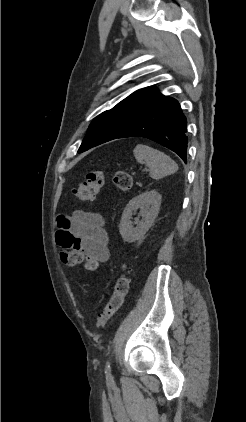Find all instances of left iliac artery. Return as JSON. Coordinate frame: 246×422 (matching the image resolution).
Segmentation results:
<instances>
[{"instance_id": "1", "label": "left iliac artery", "mask_w": 246, "mask_h": 422, "mask_svg": "<svg viewBox=\"0 0 246 422\" xmlns=\"http://www.w3.org/2000/svg\"><path fill=\"white\" fill-rule=\"evenodd\" d=\"M105 374H106V379L111 382L113 381L112 375H111V369H110V365L109 362H107L106 367H105Z\"/></svg>"}]
</instances>
